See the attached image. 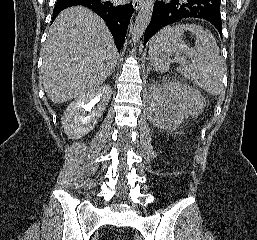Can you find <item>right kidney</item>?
<instances>
[{
    "label": "right kidney",
    "mask_w": 257,
    "mask_h": 240,
    "mask_svg": "<svg viewBox=\"0 0 257 240\" xmlns=\"http://www.w3.org/2000/svg\"><path fill=\"white\" fill-rule=\"evenodd\" d=\"M112 95L109 85L93 89L75 99L64 112L62 126L70 139L88 134L97 124Z\"/></svg>",
    "instance_id": "ca27d5eb"
}]
</instances>
